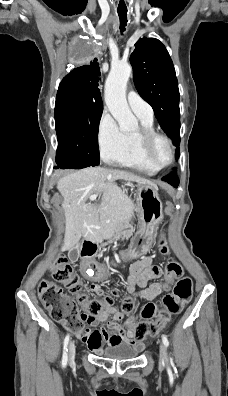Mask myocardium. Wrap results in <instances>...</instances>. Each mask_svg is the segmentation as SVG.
Returning a JSON list of instances; mask_svg holds the SVG:
<instances>
[{"label": "myocardium", "instance_id": "obj_1", "mask_svg": "<svg viewBox=\"0 0 228 396\" xmlns=\"http://www.w3.org/2000/svg\"><path fill=\"white\" fill-rule=\"evenodd\" d=\"M135 138L137 140L140 152L144 158V160L153 168L157 170H161L169 166L173 160H174V149L172 142L168 136L165 134H162L160 132H157L154 129L146 128V127H141L136 133H135ZM162 140L166 143L168 149H169V160L164 163V164H159L153 155V148L155 144L159 141Z\"/></svg>", "mask_w": 228, "mask_h": 396}]
</instances>
